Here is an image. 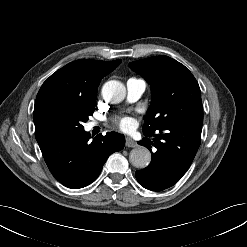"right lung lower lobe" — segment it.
Instances as JSON below:
<instances>
[{
    "label": "right lung lower lobe",
    "mask_w": 247,
    "mask_h": 247,
    "mask_svg": "<svg viewBox=\"0 0 247 247\" xmlns=\"http://www.w3.org/2000/svg\"><path fill=\"white\" fill-rule=\"evenodd\" d=\"M35 137L52 175L72 189L83 188L96 180L108 157L125 145L122 134L108 132L90 140L84 129L37 130Z\"/></svg>",
    "instance_id": "1"
}]
</instances>
